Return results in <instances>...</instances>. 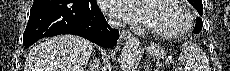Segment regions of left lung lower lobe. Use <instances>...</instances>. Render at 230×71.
Masks as SVG:
<instances>
[{
  "label": "left lung lower lobe",
  "mask_w": 230,
  "mask_h": 71,
  "mask_svg": "<svg viewBox=\"0 0 230 71\" xmlns=\"http://www.w3.org/2000/svg\"><path fill=\"white\" fill-rule=\"evenodd\" d=\"M201 29H202V20L200 18H197L194 33L200 32Z\"/></svg>",
  "instance_id": "0a47b994"
}]
</instances>
